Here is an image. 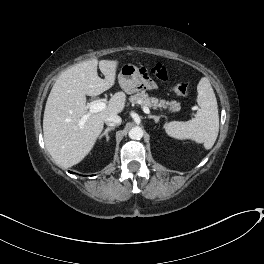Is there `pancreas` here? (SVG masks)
Wrapping results in <instances>:
<instances>
[{
    "label": "pancreas",
    "mask_w": 264,
    "mask_h": 264,
    "mask_svg": "<svg viewBox=\"0 0 264 264\" xmlns=\"http://www.w3.org/2000/svg\"><path fill=\"white\" fill-rule=\"evenodd\" d=\"M129 100L132 104H140L141 107L169 109V111H178L180 109L179 102L159 100L156 97H150L145 91L132 95Z\"/></svg>",
    "instance_id": "pancreas-1"
}]
</instances>
